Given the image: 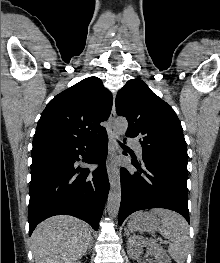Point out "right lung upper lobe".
I'll list each match as a JSON object with an SVG mask.
<instances>
[{"label": "right lung upper lobe", "instance_id": "right-lung-upper-lobe-1", "mask_svg": "<svg viewBox=\"0 0 220 263\" xmlns=\"http://www.w3.org/2000/svg\"><path fill=\"white\" fill-rule=\"evenodd\" d=\"M112 95L100 78L88 77L56 95L38 121L33 149L90 141L106 132Z\"/></svg>", "mask_w": 220, "mask_h": 263}]
</instances>
